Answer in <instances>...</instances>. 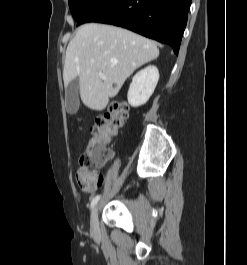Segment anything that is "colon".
<instances>
[{
	"label": "colon",
	"instance_id": "1",
	"mask_svg": "<svg viewBox=\"0 0 247 265\" xmlns=\"http://www.w3.org/2000/svg\"><path fill=\"white\" fill-rule=\"evenodd\" d=\"M128 106L113 103L108 112L96 119L87 137L86 151L80 159L81 167L90 175H101L100 170L112 157L110 145L124 129Z\"/></svg>",
	"mask_w": 247,
	"mask_h": 265
}]
</instances>
